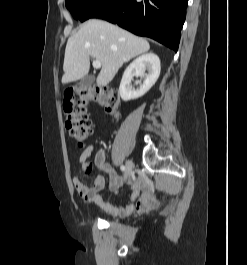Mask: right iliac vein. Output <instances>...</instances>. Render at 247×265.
I'll list each match as a JSON object with an SVG mask.
<instances>
[{"label": "right iliac vein", "instance_id": "right-iliac-vein-1", "mask_svg": "<svg viewBox=\"0 0 247 265\" xmlns=\"http://www.w3.org/2000/svg\"><path fill=\"white\" fill-rule=\"evenodd\" d=\"M133 172V162L131 160H128L125 165V179H128Z\"/></svg>", "mask_w": 247, "mask_h": 265}]
</instances>
